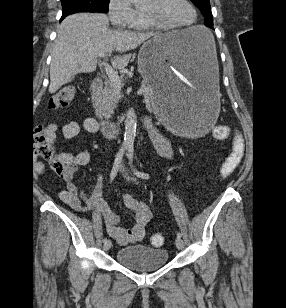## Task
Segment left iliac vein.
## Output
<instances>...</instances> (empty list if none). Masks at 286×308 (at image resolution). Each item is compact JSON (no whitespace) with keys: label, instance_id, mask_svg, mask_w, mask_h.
Instances as JSON below:
<instances>
[{"label":"left iliac vein","instance_id":"4c4485c4","mask_svg":"<svg viewBox=\"0 0 286 308\" xmlns=\"http://www.w3.org/2000/svg\"><path fill=\"white\" fill-rule=\"evenodd\" d=\"M121 171L123 172V175L126 179L130 180L132 179L133 180V183L135 184H138L139 182L136 180V178L132 177L125 166H122L121 167ZM175 244H176V247L179 249V250H182L184 248V242L181 238L177 237L176 240H175Z\"/></svg>","mask_w":286,"mask_h":308}]
</instances>
